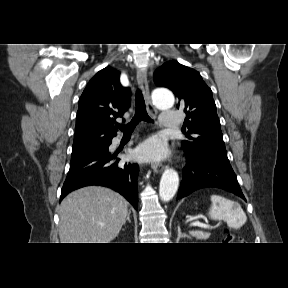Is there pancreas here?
<instances>
[{"instance_id":"pancreas-1","label":"pancreas","mask_w":288,"mask_h":288,"mask_svg":"<svg viewBox=\"0 0 288 288\" xmlns=\"http://www.w3.org/2000/svg\"><path fill=\"white\" fill-rule=\"evenodd\" d=\"M190 234L196 239H201V240H206L210 236L209 232H204V231H199V230L191 231Z\"/></svg>"}]
</instances>
